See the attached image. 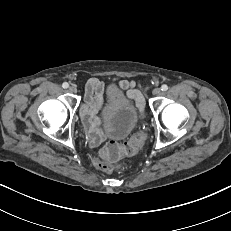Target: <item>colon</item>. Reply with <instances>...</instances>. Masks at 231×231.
I'll use <instances>...</instances> for the list:
<instances>
[{"label":"colon","mask_w":231,"mask_h":231,"mask_svg":"<svg viewBox=\"0 0 231 231\" xmlns=\"http://www.w3.org/2000/svg\"><path fill=\"white\" fill-rule=\"evenodd\" d=\"M146 134L138 130L128 141L120 144L115 141L107 142L99 152V157L94 158L93 164L101 171L112 173L118 168L112 162L117 161L123 155H134L143 145Z\"/></svg>","instance_id":"obj_1"}]
</instances>
